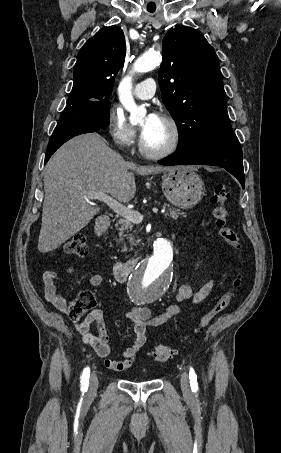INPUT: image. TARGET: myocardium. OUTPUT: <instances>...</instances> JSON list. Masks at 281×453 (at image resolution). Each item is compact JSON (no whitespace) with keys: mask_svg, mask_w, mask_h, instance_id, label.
<instances>
[{"mask_svg":"<svg viewBox=\"0 0 281 453\" xmlns=\"http://www.w3.org/2000/svg\"><path fill=\"white\" fill-rule=\"evenodd\" d=\"M160 120L169 128L171 133V142L170 144L163 150L160 151H153L147 148L143 135L141 134L139 137L138 142V149L139 152L146 158L150 159H163L170 155H172L180 142V131L177 124L167 116H161Z\"/></svg>","mask_w":281,"mask_h":453,"instance_id":"myocardium-1","label":"myocardium"}]
</instances>
